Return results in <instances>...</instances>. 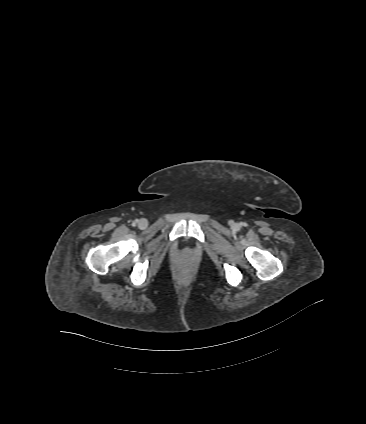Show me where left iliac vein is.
<instances>
[{"label": "left iliac vein", "instance_id": "1", "mask_svg": "<svg viewBox=\"0 0 366 424\" xmlns=\"http://www.w3.org/2000/svg\"><path fill=\"white\" fill-rule=\"evenodd\" d=\"M231 226H232L233 228H235V229H237V228H238V224H237V223H234V222H232V223H231Z\"/></svg>", "mask_w": 366, "mask_h": 424}]
</instances>
